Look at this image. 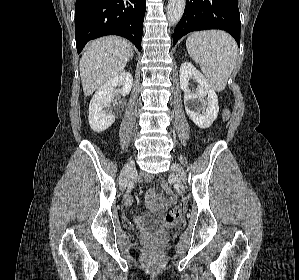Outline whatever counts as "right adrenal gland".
I'll return each mask as SVG.
<instances>
[{
  "label": "right adrenal gland",
  "instance_id": "1",
  "mask_svg": "<svg viewBox=\"0 0 299 280\" xmlns=\"http://www.w3.org/2000/svg\"><path fill=\"white\" fill-rule=\"evenodd\" d=\"M133 58V53L131 54V57H130V59H132Z\"/></svg>",
  "mask_w": 299,
  "mask_h": 280
}]
</instances>
